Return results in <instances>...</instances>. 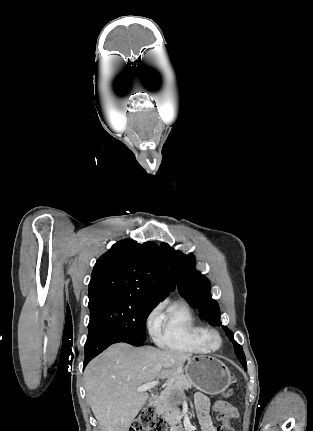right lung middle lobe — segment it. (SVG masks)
<instances>
[{"label":"right lung middle lobe","instance_id":"right-lung-middle-lobe-1","mask_svg":"<svg viewBox=\"0 0 313 431\" xmlns=\"http://www.w3.org/2000/svg\"><path fill=\"white\" fill-rule=\"evenodd\" d=\"M158 303L125 291H107L90 296L88 336L100 330H112L144 342L147 316Z\"/></svg>","mask_w":313,"mask_h":431}]
</instances>
